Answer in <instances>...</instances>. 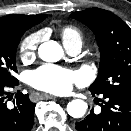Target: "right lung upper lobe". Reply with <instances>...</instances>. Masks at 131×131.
<instances>
[{
	"label": "right lung upper lobe",
	"instance_id": "right-lung-upper-lobe-1",
	"mask_svg": "<svg viewBox=\"0 0 131 131\" xmlns=\"http://www.w3.org/2000/svg\"><path fill=\"white\" fill-rule=\"evenodd\" d=\"M46 14L38 15H7L0 18V30L20 31L28 30L32 26L42 22Z\"/></svg>",
	"mask_w": 131,
	"mask_h": 131
}]
</instances>
